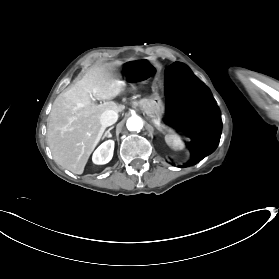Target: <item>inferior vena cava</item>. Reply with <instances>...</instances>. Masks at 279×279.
I'll use <instances>...</instances> for the list:
<instances>
[{"label": "inferior vena cava", "instance_id": "obj_1", "mask_svg": "<svg viewBox=\"0 0 279 279\" xmlns=\"http://www.w3.org/2000/svg\"><path fill=\"white\" fill-rule=\"evenodd\" d=\"M100 121L102 124V128L101 129H105V127L111 126L112 124H114L117 119H118V115L115 111L113 110H106L100 117Z\"/></svg>", "mask_w": 279, "mask_h": 279}]
</instances>
